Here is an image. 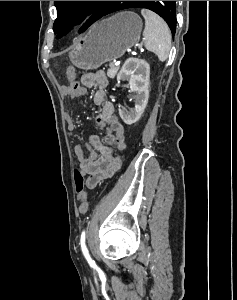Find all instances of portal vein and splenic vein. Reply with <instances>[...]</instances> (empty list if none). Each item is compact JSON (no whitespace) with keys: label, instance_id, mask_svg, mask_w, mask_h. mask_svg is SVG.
I'll list each match as a JSON object with an SVG mask.
<instances>
[{"label":"portal vein and splenic vein","instance_id":"1","mask_svg":"<svg viewBox=\"0 0 237 300\" xmlns=\"http://www.w3.org/2000/svg\"><path fill=\"white\" fill-rule=\"evenodd\" d=\"M109 63H110V66H109V67H110L111 69H113V68L115 67L114 61L111 60Z\"/></svg>","mask_w":237,"mask_h":300}]
</instances>
